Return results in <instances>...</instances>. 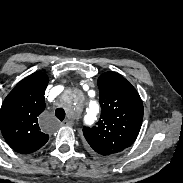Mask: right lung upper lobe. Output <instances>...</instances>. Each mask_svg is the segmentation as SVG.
I'll return each mask as SVG.
<instances>
[{"label":"right lung upper lobe","mask_w":183,"mask_h":183,"mask_svg":"<svg viewBox=\"0 0 183 183\" xmlns=\"http://www.w3.org/2000/svg\"><path fill=\"white\" fill-rule=\"evenodd\" d=\"M47 85V75L35 72L18 83L1 106L2 135L18 153H32L49 139L38 125V116L45 109L44 94Z\"/></svg>","instance_id":"1"}]
</instances>
